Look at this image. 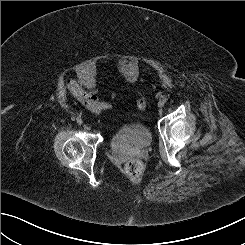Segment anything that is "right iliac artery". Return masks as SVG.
Here are the masks:
<instances>
[{"mask_svg": "<svg viewBox=\"0 0 245 245\" xmlns=\"http://www.w3.org/2000/svg\"><path fill=\"white\" fill-rule=\"evenodd\" d=\"M75 119H76V118H75L74 116L71 117V120H72V121H75Z\"/></svg>", "mask_w": 245, "mask_h": 245, "instance_id": "right-iliac-artery-1", "label": "right iliac artery"}]
</instances>
